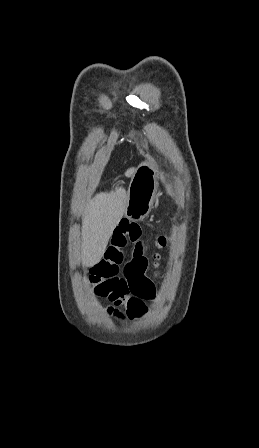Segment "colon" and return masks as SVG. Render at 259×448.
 <instances>
[{"instance_id":"5ec220e1","label":"colon","mask_w":259,"mask_h":448,"mask_svg":"<svg viewBox=\"0 0 259 448\" xmlns=\"http://www.w3.org/2000/svg\"><path fill=\"white\" fill-rule=\"evenodd\" d=\"M166 245V239L164 237H160L158 238L157 242H156V246L158 248H163ZM159 257V255H157V258Z\"/></svg>"}]
</instances>
